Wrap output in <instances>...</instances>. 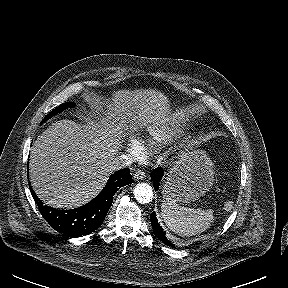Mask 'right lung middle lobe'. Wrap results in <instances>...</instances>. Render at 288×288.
Returning <instances> with one entry per match:
<instances>
[{
	"label": "right lung middle lobe",
	"mask_w": 288,
	"mask_h": 288,
	"mask_svg": "<svg viewBox=\"0 0 288 288\" xmlns=\"http://www.w3.org/2000/svg\"><path fill=\"white\" fill-rule=\"evenodd\" d=\"M74 106V103H62V104H60L56 109H54V110H52L50 113H49V115H47L46 117H45V120L46 119H48V118H50V117H52V116H54L55 114H57V113H59V112H61V111H63V110H65L67 107H73ZM44 121V120H43ZM42 121V122H43Z\"/></svg>",
	"instance_id": "dd1d6c3e"
}]
</instances>
